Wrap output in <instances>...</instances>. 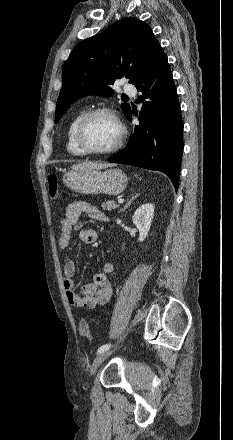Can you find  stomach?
<instances>
[{"label": "stomach", "mask_w": 233, "mask_h": 440, "mask_svg": "<svg viewBox=\"0 0 233 440\" xmlns=\"http://www.w3.org/2000/svg\"><path fill=\"white\" fill-rule=\"evenodd\" d=\"M63 183L71 190L82 194L118 195L126 188L128 178L117 168L105 171L80 169L65 173Z\"/></svg>", "instance_id": "0dacf381"}]
</instances>
